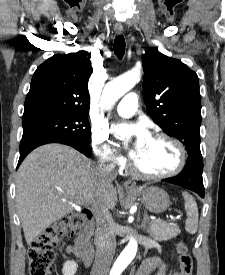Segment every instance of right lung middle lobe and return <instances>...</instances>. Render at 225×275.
I'll return each instance as SVG.
<instances>
[{
    "label": "right lung middle lobe",
    "instance_id": "obj_1",
    "mask_svg": "<svg viewBox=\"0 0 225 275\" xmlns=\"http://www.w3.org/2000/svg\"><path fill=\"white\" fill-rule=\"evenodd\" d=\"M23 136L46 135L90 143L87 112H42L23 116Z\"/></svg>",
    "mask_w": 225,
    "mask_h": 275
}]
</instances>
